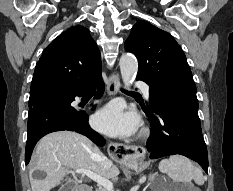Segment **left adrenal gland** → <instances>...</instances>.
Instances as JSON below:
<instances>
[{
  "label": "left adrenal gland",
  "mask_w": 233,
  "mask_h": 191,
  "mask_svg": "<svg viewBox=\"0 0 233 191\" xmlns=\"http://www.w3.org/2000/svg\"><path fill=\"white\" fill-rule=\"evenodd\" d=\"M154 177H155V174H152L150 180L152 181L154 179Z\"/></svg>",
  "instance_id": "1"
}]
</instances>
